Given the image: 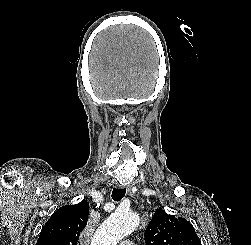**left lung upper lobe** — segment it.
<instances>
[{
  "label": "left lung upper lobe",
  "mask_w": 251,
  "mask_h": 245,
  "mask_svg": "<svg viewBox=\"0 0 251 245\" xmlns=\"http://www.w3.org/2000/svg\"><path fill=\"white\" fill-rule=\"evenodd\" d=\"M146 245H201L193 226L184 218L165 213L161 207L145 231Z\"/></svg>",
  "instance_id": "5c2ea615"
}]
</instances>
